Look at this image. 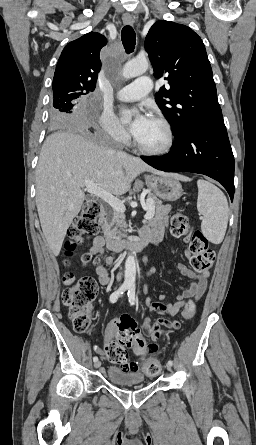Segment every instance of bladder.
<instances>
[{
  "label": "bladder",
  "mask_w": 256,
  "mask_h": 445,
  "mask_svg": "<svg viewBox=\"0 0 256 445\" xmlns=\"http://www.w3.org/2000/svg\"><path fill=\"white\" fill-rule=\"evenodd\" d=\"M107 373L110 381L117 385H142L146 381L144 375L138 371L110 367Z\"/></svg>",
  "instance_id": "1"
}]
</instances>
